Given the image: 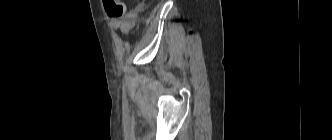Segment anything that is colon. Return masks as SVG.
<instances>
[{
	"label": "colon",
	"mask_w": 332,
	"mask_h": 140,
	"mask_svg": "<svg viewBox=\"0 0 332 140\" xmlns=\"http://www.w3.org/2000/svg\"><path fill=\"white\" fill-rule=\"evenodd\" d=\"M106 13L112 19H120L124 16L126 6L123 0H103Z\"/></svg>",
	"instance_id": "colon-1"
}]
</instances>
